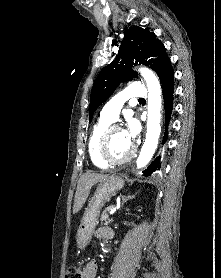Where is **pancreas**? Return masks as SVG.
I'll return each instance as SVG.
<instances>
[{"label": "pancreas", "mask_w": 221, "mask_h": 278, "mask_svg": "<svg viewBox=\"0 0 221 278\" xmlns=\"http://www.w3.org/2000/svg\"><path fill=\"white\" fill-rule=\"evenodd\" d=\"M111 207H107L106 209H104V211L101 214V223H104V225H108L110 224L113 219L109 217L108 212L110 211Z\"/></svg>", "instance_id": "obj_1"}]
</instances>
